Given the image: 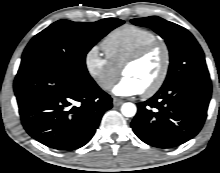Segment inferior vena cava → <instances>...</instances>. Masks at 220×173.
<instances>
[{"mask_svg": "<svg viewBox=\"0 0 220 173\" xmlns=\"http://www.w3.org/2000/svg\"><path fill=\"white\" fill-rule=\"evenodd\" d=\"M113 85L111 83H108L105 85V89H110Z\"/></svg>", "mask_w": 220, "mask_h": 173, "instance_id": "1", "label": "inferior vena cava"}]
</instances>
